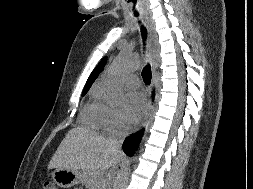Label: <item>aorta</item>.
Returning a JSON list of instances; mask_svg holds the SVG:
<instances>
[{
	"mask_svg": "<svg viewBox=\"0 0 253 189\" xmlns=\"http://www.w3.org/2000/svg\"><path fill=\"white\" fill-rule=\"evenodd\" d=\"M139 62L127 53H122L112 65L109 76L103 83V93L106 103L111 107H117L123 101L122 77L138 67Z\"/></svg>",
	"mask_w": 253,
	"mask_h": 189,
	"instance_id": "762f6f07",
	"label": "aorta"
}]
</instances>
